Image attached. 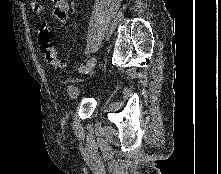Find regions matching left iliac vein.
Returning <instances> with one entry per match:
<instances>
[{
  "label": "left iliac vein",
  "instance_id": "obj_1",
  "mask_svg": "<svg viewBox=\"0 0 221 174\" xmlns=\"http://www.w3.org/2000/svg\"><path fill=\"white\" fill-rule=\"evenodd\" d=\"M96 61H97V59H96L94 56L91 57V58L88 60V62H87V65H86V68H85V72H84V73L90 74V73L93 71V69H94V67H95V65H96Z\"/></svg>",
  "mask_w": 221,
  "mask_h": 174
}]
</instances>
